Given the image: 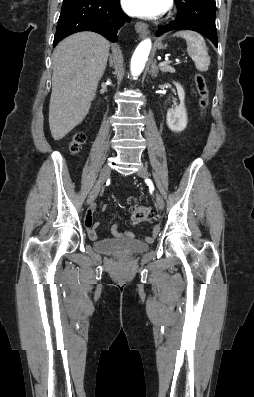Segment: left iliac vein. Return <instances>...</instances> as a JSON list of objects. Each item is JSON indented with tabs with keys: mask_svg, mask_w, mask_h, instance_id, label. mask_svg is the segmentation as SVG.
Returning <instances> with one entry per match:
<instances>
[{
	"mask_svg": "<svg viewBox=\"0 0 254 397\" xmlns=\"http://www.w3.org/2000/svg\"><path fill=\"white\" fill-rule=\"evenodd\" d=\"M136 174H137L139 177H142V178H144V179H147V178L149 177L148 171H147V169L144 168V167H140V168L138 169V171L136 172ZM156 202H157L158 208H159L160 210H162V209L164 208L165 203H164V200H163L162 196H161L159 193H156Z\"/></svg>",
	"mask_w": 254,
	"mask_h": 397,
	"instance_id": "4c4485c4",
	"label": "left iliac vein"
}]
</instances>
